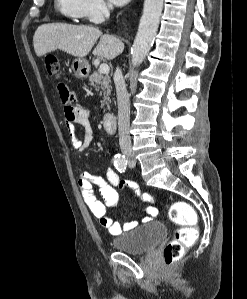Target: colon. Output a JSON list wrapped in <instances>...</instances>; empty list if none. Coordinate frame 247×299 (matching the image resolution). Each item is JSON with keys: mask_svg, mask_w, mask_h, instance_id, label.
Listing matches in <instances>:
<instances>
[{"mask_svg": "<svg viewBox=\"0 0 247 299\" xmlns=\"http://www.w3.org/2000/svg\"><path fill=\"white\" fill-rule=\"evenodd\" d=\"M45 66L49 75H58L60 63L56 56L47 55ZM133 191L138 193L140 190L134 188ZM168 216L170 221L178 226L173 238L164 249V261L167 265H171L178 261L183 256L185 249L196 240L198 228L196 213L185 202L173 203L169 208Z\"/></svg>", "mask_w": 247, "mask_h": 299, "instance_id": "5ec220e1", "label": "colon"}]
</instances>
